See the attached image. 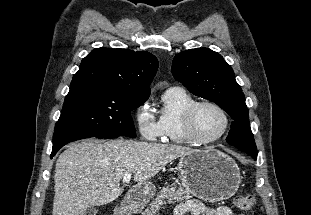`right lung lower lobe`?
Here are the masks:
<instances>
[{
	"label": "right lung lower lobe",
	"instance_id": "1",
	"mask_svg": "<svg viewBox=\"0 0 311 215\" xmlns=\"http://www.w3.org/2000/svg\"><path fill=\"white\" fill-rule=\"evenodd\" d=\"M118 136H119V135L98 136V137H96V138H105V139H108V138H116V137H118ZM83 138H92V137H77V138L67 139V140H64V141H60V142L54 143V144H53L52 153H51L50 158H52V157L57 153V151H58L61 147H63L65 144H67V143H69V142H72V141H75V140L83 139Z\"/></svg>",
	"mask_w": 311,
	"mask_h": 215
}]
</instances>
